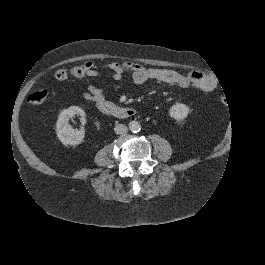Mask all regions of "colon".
Returning <instances> with one entry per match:
<instances>
[{"label":"colon","instance_id":"obj_1","mask_svg":"<svg viewBox=\"0 0 265 265\" xmlns=\"http://www.w3.org/2000/svg\"><path fill=\"white\" fill-rule=\"evenodd\" d=\"M87 67L85 64L76 66L70 70L66 69H59L55 72V78L59 81L66 80L69 76L74 77H83L86 75ZM47 97L46 90H38L31 93L28 96V102L31 104H40L42 103Z\"/></svg>","mask_w":265,"mask_h":265}]
</instances>
